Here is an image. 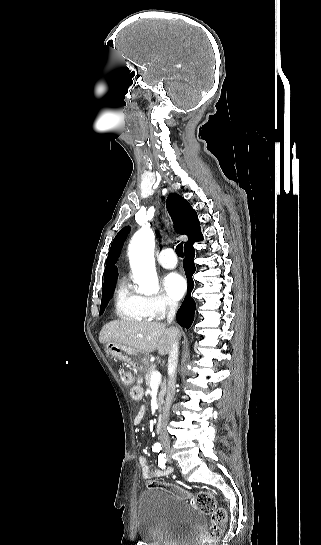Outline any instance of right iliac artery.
Here are the masks:
<instances>
[{
  "label": "right iliac artery",
  "mask_w": 321,
  "mask_h": 545,
  "mask_svg": "<svg viewBox=\"0 0 321 545\" xmlns=\"http://www.w3.org/2000/svg\"><path fill=\"white\" fill-rule=\"evenodd\" d=\"M161 449H162V448H161V444H160V443H155V444L153 445V447H152V450H153L154 452H159Z\"/></svg>",
  "instance_id": "82829eb1"
}]
</instances>
